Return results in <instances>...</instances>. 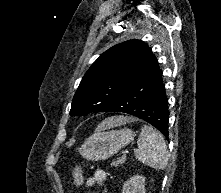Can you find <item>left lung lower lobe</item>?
Returning <instances> with one entry per match:
<instances>
[{
    "label": "left lung lower lobe",
    "mask_w": 221,
    "mask_h": 193,
    "mask_svg": "<svg viewBox=\"0 0 221 193\" xmlns=\"http://www.w3.org/2000/svg\"><path fill=\"white\" fill-rule=\"evenodd\" d=\"M106 112H123L141 118L168 140V99L158 63L136 78Z\"/></svg>",
    "instance_id": "1"
}]
</instances>
